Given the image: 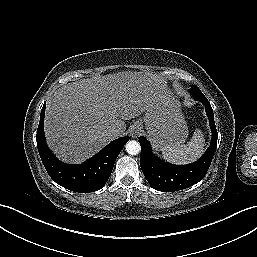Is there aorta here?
<instances>
[{
  "mask_svg": "<svg viewBox=\"0 0 257 257\" xmlns=\"http://www.w3.org/2000/svg\"><path fill=\"white\" fill-rule=\"evenodd\" d=\"M125 148H126L127 153L130 155H136L141 150L140 144L135 140L129 141L126 144Z\"/></svg>",
  "mask_w": 257,
  "mask_h": 257,
  "instance_id": "obj_1",
  "label": "aorta"
}]
</instances>
